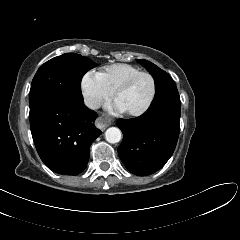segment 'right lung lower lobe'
Instances as JSON below:
<instances>
[{
	"instance_id": "right-lung-lower-lobe-1",
	"label": "right lung lower lobe",
	"mask_w": 240,
	"mask_h": 240,
	"mask_svg": "<svg viewBox=\"0 0 240 240\" xmlns=\"http://www.w3.org/2000/svg\"><path fill=\"white\" fill-rule=\"evenodd\" d=\"M96 117L83 99H55L30 111L32 137L44 164L58 174H80L87 166L90 145L101 134L94 126Z\"/></svg>"
}]
</instances>
